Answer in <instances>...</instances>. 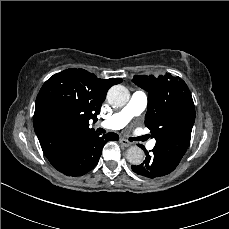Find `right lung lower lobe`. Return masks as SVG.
I'll return each instance as SVG.
<instances>
[{"instance_id": "1", "label": "right lung lower lobe", "mask_w": 229, "mask_h": 229, "mask_svg": "<svg viewBox=\"0 0 229 229\" xmlns=\"http://www.w3.org/2000/svg\"><path fill=\"white\" fill-rule=\"evenodd\" d=\"M115 133L104 134L90 133L87 137L77 141L57 162L52 166L67 176H81L93 169L99 161L102 148L106 142L118 140Z\"/></svg>"}]
</instances>
